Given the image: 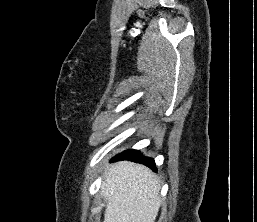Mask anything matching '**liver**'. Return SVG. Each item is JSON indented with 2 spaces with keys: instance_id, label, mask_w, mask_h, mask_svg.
<instances>
[{
  "instance_id": "obj_1",
  "label": "liver",
  "mask_w": 257,
  "mask_h": 222,
  "mask_svg": "<svg viewBox=\"0 0 257 222\" xmlns=\"http://www.w3.org/2000/svg\"><path fill=\"white\" fill-rule=\"evenodd\" d=\"M157 176L144 165L120 161L105 172L103 222H155L161 205Z\"/></svg>"
}]
</instances>
